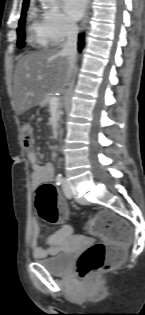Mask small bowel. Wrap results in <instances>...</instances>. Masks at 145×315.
<instances>
[{"mask_svg":"<svg viewBox=\"0 0 145 315\" xmlns=\"http://www.w3.org/2000/svg\"><path fill=\"white\" fill-rule=\"evenodd\" d=\"M28 161L31 164V187L37 188L44 182H51L54 178V168L51 163L40 164L38 162L37 154L33 150L27 153ZM72 232V228L68 225L63 226L58 232L51 235L47 244L48 247L44 248L39 245L38 239L41 235V228L36 220L33 221L31 229V249L35 258H44L47 256H54L58 254L63 246L64 239Z\"/></svg>","mask_w":145,"mask_h":315,"instance_id":"1","label":"small bowel"}]
</instances>
